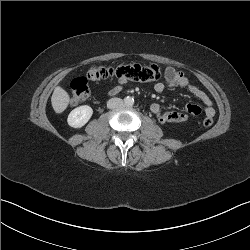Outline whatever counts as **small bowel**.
Here are the masks:
<instances>
[{
	"label": "small bowel",
	"mask_w": 250,
	"mask_h": 250,
	"mask_svg": "<svg viewBox=\"0 0 250 250\" xmlns=\"http://www.w3.org/2000/svg\"><path fill=\"white\" fill-rule=\"evenodd\" d=\"M164 78L165 82L159 81L154 84V90L157 93H162L166 86L171 88L178 87L186 89L201 102V104L204 106V111L207 116L213 117L215 115V109L210 97L203 90L192 84L183 72L175 69L174 67H167L165 69ZM118 83V86L112 88L109 91L110 94L117 93L127 84V81L119 79ZM150 110L161 124L187 122L191 118L200 115L202 112V109L195 104H187L185 106L184 112H163L159 104L153 103L150 107Z\"/></svg>",
	"instance_id": "1"
}]
</instances>
